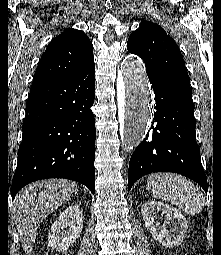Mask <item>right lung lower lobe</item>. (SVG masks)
Masks as SVG:
<instances>
[{"mask_svg": "<svg viewBox=\"0 0 221 255\" xmlns=\"http://www.w3.org/2000/svg\"><path fill=\"white\" fill-rule=\"evenodd\" d=\"M94 61L77 72L32 86L12 180V199L30 182L66 178L95 192Z\"/></svg>", "mask_w": 221, "mask_h": 255, "instance_id": "right-lung-lower-lobe-1", "label": "right lung lower lobe"}]
</instances>
